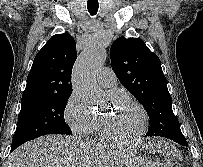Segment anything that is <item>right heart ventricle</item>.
<instances>
[{
	"label": "right heart ventricle",
	"mask_w": 203,
	"mask_h": 167,
	"mask_svg": "<svg viewBox=\"0 0 203 167\" xmlns=\"http://www.w3.org/2000/svg\"><path fill=\"white\" fill-rule=\"evenodd\" d=\"M94 130H98V131H100L99 121H98L97 118H96V122H95V128H94Z\"/></svg>",
	"instance_id": "right-heart-ventricle-1"
}]
</instances>
